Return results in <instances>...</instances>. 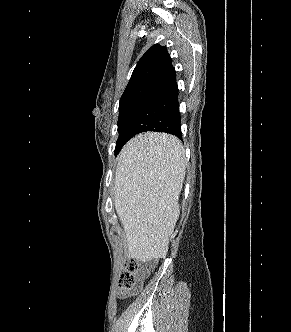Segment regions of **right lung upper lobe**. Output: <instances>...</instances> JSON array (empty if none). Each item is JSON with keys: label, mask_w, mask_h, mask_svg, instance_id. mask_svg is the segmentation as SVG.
<instances>
[{"label": "right lung upper lobe", "mask_w": 291, "mask_h": 332, "mask_svg": "<svg viewBox=\"0 0 291 332\" xmlns=\"http://www.w3.org/2000/svg\"><path fill=\"white\" fill-rule=\"evenodd\" d=\"M175 78V70L167 49L153 45L137 63L120 100L136 95H147Z\"/></svg>", "instance_id": "cb5924a9"}]
</instances>
